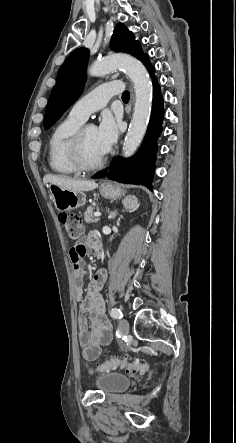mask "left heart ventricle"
<instances>
[{
	"mask_svg": "<svg viewBox=\"0 0 236 443\" xmlns=\"http://www.w3.org/2000/svg\"><path fill=\"white\" fill-rule=\"evenodd\" d=\"M82 153L83 158L87 163H93L103 155L98 143L96 128L94 126L88 127L84 133Z\"/></svg>",
	"mask_w": 236,
	"mask_h": 443,
	"instance_id": "1",
	"label": "left heart ventricle"
}]
</instances>
